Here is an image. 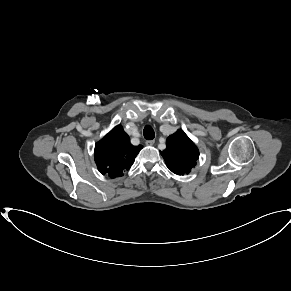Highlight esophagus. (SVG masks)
<instances>
[{
	"label": "esophagus",
	"instance_id": "34e87169",
	"mask_svg": "<svg viewBox=\"0 0 291 291\" xmlns=\"http://www.w3.org/2000/svg\"><path fill=\"white\" fill-rule=\"evenodd\" d=\"M154 143H155L154 140H147V141L145 142V144L148 145V146H152Z\"/></svg>",
	"mask_w": 291,
	"mask_h": 291
}]
</instances>
